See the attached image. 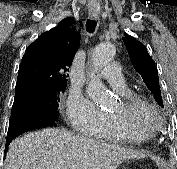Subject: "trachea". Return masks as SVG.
<instances>
[{
    "label": "trachea",
    "instance_id": "obj_1",
    "mask_svg": "<svg viewBox=\"0 0 177 169\" xmlns=\"http://www.w3.org/2000/svg\"><path fill=\"white\" fill-rule=\"evenodd\" d=\"M95 28H96V21L88 19L86 22V30L89 33H93L95 31Z\"/></svg>",
    "mask_w": 177,
    "mask_h": 169
}]
</instances>
